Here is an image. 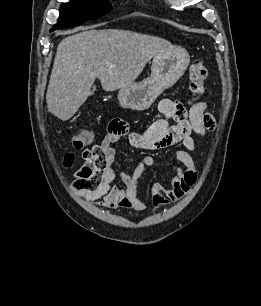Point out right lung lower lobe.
Listing matches in <instances>:
<instances>
[{
	"instance_id": "1",
	"label": "right lung lower lobe",
	"mask_w": 261,
	"mask_h": 306,
	"mask_svg": "<svg viewBox=\"0 0 261 306\" xmlns=\"http://www.w3.org/2000/svg\"><path fill=\"white\" fill-rule=\"evenodd\" d=\"M54 30H56V29H51L50 31L52 32V31H54Z\"/></svg>"
}]
</instances>
